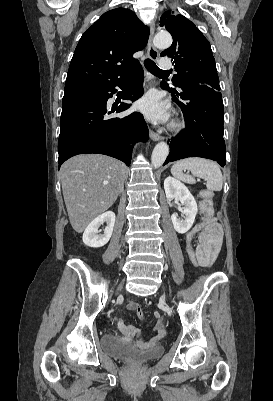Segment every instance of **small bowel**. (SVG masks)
I'll return each instance as SVG.
<instances>
[{"label":"small bowel","mask_w":273,"mask_h":401,"mask_svg":"<svg viewBox=\"0 0 273 401\" xmlns=\"http://www.w3.org/2000/svg\"><path fill=\"white\" fill-rule=\"evenodd\" d=\"M199 230V227H196L193 231L189 232L187 234V250L190 255V252H194L195 255L197 256L199 263L201 266L204 267H211L219 253L220 247H221V241H201L200 236H199V245L196 248V250L193 249L192 246V241L194 238L195 233ZM136 302L130 301L127 304V307L130 310H135ZM154 317L155 318H160L161 317V312L160 311H155L154 312ZM159 324L163 323L162 319L158 320ZM118 329L120 332L123 333V338H122V343L127 349L130 350H137L139 348H154L157 346L161 336H166L168 333V330L166 327H157L156 324V331L158 335L153 338L151 342H143L142 340L139 339V331L138 329L133 326V325H128L127 323H124L122 320L119 321V326Z\"/></svg>","instance_id":"small-bowel-1"}]
</instances>
